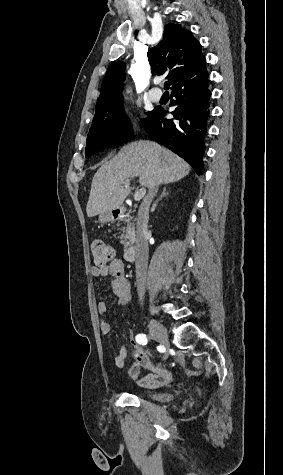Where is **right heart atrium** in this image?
Segmentation results:
<instances>
[{"label": "right heart atrium", "instance_id": "obj_1", "mask_svg": "<svg viewBox=\"0 0 283 475\" xmlns=\"http://www.w3.org/2000/svg\"><path fill=\"white\" fill-rule=\"evenodd\" d=\"M139 122L137 120H130L126 123L124 130L129 133H134L139 130Z\"/></svg>", "mask_w": 283, "mask_h": 475}]
</instances>
